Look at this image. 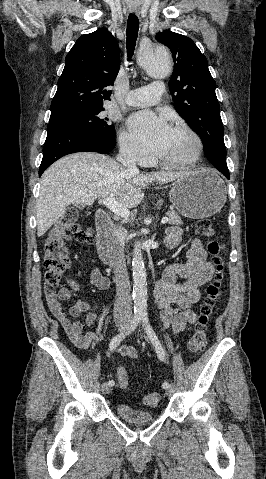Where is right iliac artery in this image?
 Listing matches in <instances>:
<instances>
[{
  "mask_svg": "<svg viewBox=\"0 0 266 479\" xmlns=\"http://www.w3.org/2000/svg\"><path fill=\"white\" fill-rule=\"evenodd\" d=\"M141 322V315L140 314H135L131 320V324L129 326V328L127 329V331L125 332H122L116 336H114L112 338V340L110 341V344H109V351L110 352H113L116 347L121 343V341L127 336L129 335L132 331H134L137 326L139 325V323ZM108 385L109 386H113L114 385V381L113 380H110L108 382Z\"/></svg>",
  "mask_w": 266,
  "mask_h": 479,
  "instance_id": "82829eb1",
  "label": "right iliac artery"
}]
</instances>
